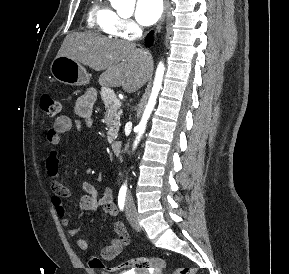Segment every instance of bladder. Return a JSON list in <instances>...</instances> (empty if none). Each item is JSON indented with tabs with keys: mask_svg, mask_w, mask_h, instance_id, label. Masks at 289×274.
I'll list each match as a JSON object with an SVG mask.
<instances>
[{
	"mask_svg": "<svg viewBox=\"0 0 289 274\" xmlns=\"http://www.w3.org/2000/svg\"><path fill=\"white\" fill-rule=\"evenodd\" d=\"M118 274H148L146 271H127V272H120Z\"/></svg>",
	"mask_w": 289,
	"mask_h": 274,
	"instance_id": "bladder-1",
	"label": "bladder"
}]
</instances>
